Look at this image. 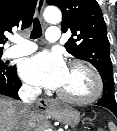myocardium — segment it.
Returning <instances> with one entry per match:
<instances>
[{
  "label": "myocardium",
  "instance_id": "myocardium-1",
  "mask_svg": "<svg viewBox=\"0 0 117 131\" xmlns=\"http://www.w3.org/2000/svg\"><path fill=\"white\" fill-rule=\"evenodd\" d=\"M75 67L83 69L90 75L93 83V88L91 93L83 97H75V96L67 95L58 90L57 96L65 102L71 104H77V105H86L95 102L96 100L99 99V97L103 92V82L99 72L91 64L81 60H73L69 63V68H75Z\"/></svg>",
  "mask_w": 117,
  "mask_h": 131
}]
</instances>
